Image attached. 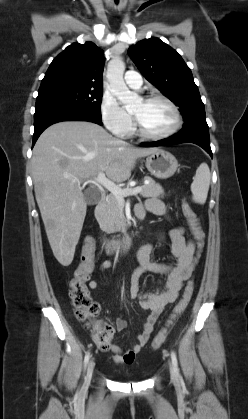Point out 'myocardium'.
I'll return each instance as SVG.
<instances>
[{"label": "myocardium", "instance_id": "1", "mask_svg": "<svg viewBox=\"0 0 248 419\" xmlns=\"http://www.w3.org/2000/svg\"><path fill=\"white\" fill-rule=\"evenodd\" d=\"M143 101L145 102H153V101H162L164 103H166L170 109L172 110L173 114H174V124L173 126L166 132L161 133V134H151L146 132L140 121L138 120V118L132 114V118H133V122H134V129L135 132L138 136L144 138V139H148V140H164L167 138L172 137L173 135H175L182 127L183 124V119H182V115L180 112L179 107L168 97L162 95V94H152L149 96H146L143 98Z\"/></svg>", "mask_w": 248, "mask_h": 419}]
</instances>
